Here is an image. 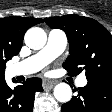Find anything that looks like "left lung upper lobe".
Wrapping results in <instances>:
<instances>
[{
	"label": "left lung upper lobe",
	"instance_id": "obj_1",
	"mask_svg": "<svg viewBox=\"0 0 112 112\" xmlns=\"http://www.w3.org/2000/svg\"><path fill=\"white\" fill-rule=\"evenodd\" d=\"M45 22L67 35L70 55L63 67L69 74L84 70L88 81L112 82V35L106 28L78 15L45 18Z\"/></svg>",
	"mask_w": 112,
	"mask_h": 112
}]
</instances>
